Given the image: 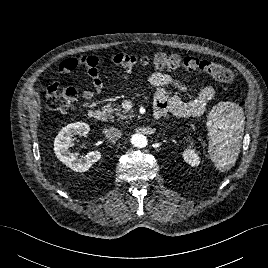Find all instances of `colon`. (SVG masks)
Masks as SVG:
<instances>
[{
  "mask_svg": "<svg viewBox=\"0 0 268 268\" xmlns=\"http://www.w3.org/2000/svg\"><path fill=\"white\" fill-rule=\"evenodd\" d=\"M140 64H152L156 69L174 70L183 68L187 73H204L225 84L231 83L234 79L232 71L225 66L208 60L198 59L194 56L183 57L178 54L159 53L151 61L147 59L141 60ZM129 66L128 59H124L119 63L121 68ZM77 96V90L72 87L66 88L58 94L50 92L47 96V106L52 110L67 113L73 109Z\"/></svg>",
  "mask_w": 268,
  "mask_h": 268,
  "instance_id": "1",
  "label": "colon"
}]
</instances>
